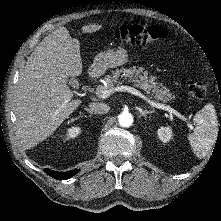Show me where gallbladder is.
<instances>
[{
  "instance_id": "gallbladder-1",
  "label": "gallbladder",
  "mask_w": 221,
  "mask_h": 221,
  "mask_svg": "<svg viewBox=\"0 0 221 221\" xmlns=\"http://www.w3.org/2000/svg\"><path fill=\"white\" fill-rule=\"evenodd\" d=\"M70 84L73 86V87H77L78 86V81L74 78H71L70 79Z\"/></svg>"
}]
</instances>
